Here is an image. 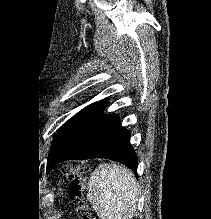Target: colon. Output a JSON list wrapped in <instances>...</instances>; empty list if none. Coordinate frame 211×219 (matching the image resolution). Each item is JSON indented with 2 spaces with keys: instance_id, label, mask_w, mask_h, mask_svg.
I'll use <instances>...</instances> for the list:
<instances>
[{
  "instance_id": "obj_1",
  "label": "colon",
  "mask_w": 211,
  "mask_h": 219,
  "mask_svg": "<svg viewBox=\"0 0 211 219\" xmlns=\"http://www.w3.org/2000/svg\"><path fill=\"white\" fill-rule=\"evenodd\" d=\"M89 171V166L85 165L76 170L77 177L71 182V195L75 203L77 216L79 219H95L90 208L84 203L82 199V190L85 185V180L82 174Z\"/></svg>"
}]
</instances>
